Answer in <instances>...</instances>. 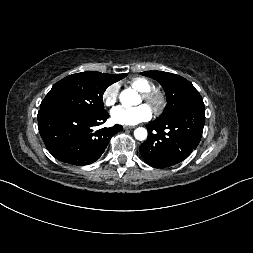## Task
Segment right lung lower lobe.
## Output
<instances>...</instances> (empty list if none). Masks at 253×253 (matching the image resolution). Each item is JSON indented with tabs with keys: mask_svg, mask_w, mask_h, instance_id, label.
Returning <instances> with one entry per match:
<instances>
[{
	"mask_svg": "<svg viewBox=\"0 0 253 253\" xmlns=\"http://www.w3.org/2000/svg\"><path fill=\"white\" fill-rule=\"evenodd\" d=\"M109 114L88 115L72 111L40 110L38 129L46 148L56 159L72 165H87L97 161L111 137L123 130L121 125L102 128Z\"/></svg>",
	"mask_w": 253,
	"mask_h": 253,
	"instance_id": "98d812e1",
	"label": "right lung lower lobe"
}]
</instances>
